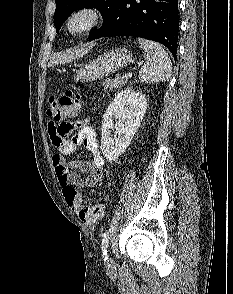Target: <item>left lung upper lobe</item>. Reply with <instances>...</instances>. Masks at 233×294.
Instances as JSON below:
<instances>
[{
	"label": "left lung upper lobe",
	"mask_w": 233,
	"mask_h": 294,
	"mask_svg": "<svg viewBox=\"0 0 233 294\" xmlns=\"http://www.w3.org/2000/svg\"><path fill=\"white\" fill-rule=\"evenodd\" d=\"M55 2L56 10L54 13V25L56 30H59L62 23L72 14V12L80 8H97L105 20L116 0H55ZM92 33L93 31L90 32L89 36Z\"/></svg>",
	"instance_id": "left-lung-upper-lobe-1"
}]
</instances>
